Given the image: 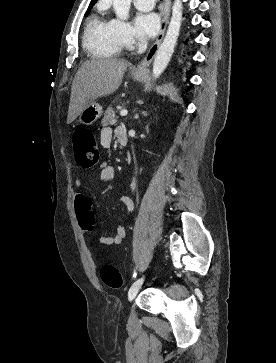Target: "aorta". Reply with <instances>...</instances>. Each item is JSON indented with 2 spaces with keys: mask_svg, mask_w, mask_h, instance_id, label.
<instances>
[{
  "mask_svg": "<svg viewBox=\"0 0 276 363\" xmlns=\"http://www.w3.org/2000/svg\"><path fill=\"white\" fill-rule=\"evenodd\" d=\"M131 0H113V9L121 20L129 18ZM182 2L175 0L172 7V17L165 38L157 50L152 69V76L157 79L167 67L174 52L182 23Z\"/></svg>",
  "mask_w": 276,
  "mask_h": 363,
  "instance_id": "obj_1",
  "label": "aorta"
}]
</instances>
